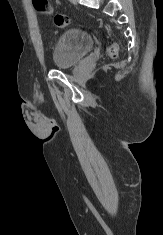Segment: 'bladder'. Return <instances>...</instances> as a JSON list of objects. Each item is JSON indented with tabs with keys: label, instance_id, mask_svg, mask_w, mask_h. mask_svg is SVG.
Returning a JSON list of instances; mask_svg holds the SVG:
<instances>
[{
	"label": "bladder",
	"instance_id": "obj_1",
	"mask_svg": "<svg viewBox=\"0 0 163 235\" xmlns=\"http://www.w3.org/2000/svg\"><path fill=\"white\" fill-rule=\"evenodd\" d=\"M93 37L86 31L70 28L62 33L53 49V64L68 69L79 64L93 49Z\"/></svg>",
	"mask_w": 163,
	"mask_h": 235
}]
</instances>
